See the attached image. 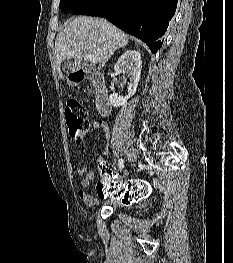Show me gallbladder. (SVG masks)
I'll return each instance as SVG.
<instances>
[{
  "mask_svg": "<svg viewBox=\"0 0 233 263\" xmlns=\"http://www.w3.org/2000/svg\"><path fill=\"white\" fill-rule=\"evenodd\" d=\"M70 66H71V64H66V63L62 65L63 70H67V69H69Z\"/></svg>",
  "mask_w": 233,
  "mask_h": 263,
  "instance_id": "bac80fb5",
  "label": "gallbladder"
}]
</instances>
